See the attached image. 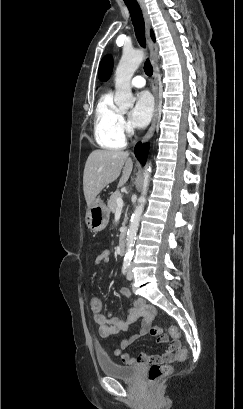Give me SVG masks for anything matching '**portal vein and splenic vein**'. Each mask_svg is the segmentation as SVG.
Wrapping results in <instances>:
<instances>
[{"instance_id": "18ae733b", "label": "portal vein and splenic vein", "mask_w": 243, "mask_h": 409, "mask_svg": "<svg viewBox=\"0 0 243 409\" xmlns=\"http://www.w3.org/2000/svg\"><path fill=\"white\" fill-rule=\"evenodd\" d=\"M123 206H124V203H123L122 198L120 197V198L117 199V207H116V210H117V211H121L122 208H123Z\"/></svg>"}]
</instances>
